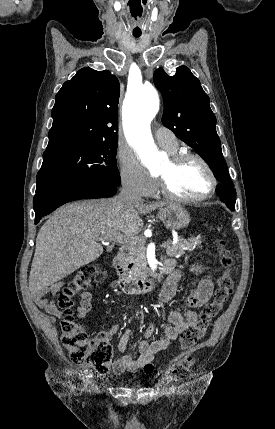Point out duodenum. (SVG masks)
Wrapping results in <instances>:
<instances>
[{
  "instance_id": "1",
  "label": "duodenum",
  "mask_w": 275,
  "mask_h": 429,
  "mask_svg": "<svg viewBox=\"0 0 275 429\" xmlns=\"http://www.w3.org/2000/svg\"><path fill=\"white\" fill-rule=\"evenodd\" d=\"M129 254L127 248H121L113 262L118 275L117 284L124 293L133 294L153 290L157 286L159 278L171 271L168 262H164L151 276L141 278L132 277L127 273Z\"/></svg>"
}]
</instances>
